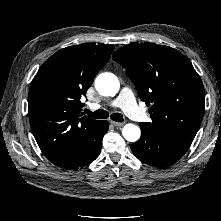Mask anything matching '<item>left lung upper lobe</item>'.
Here are the masks:
<instances>
[{
	"instance_id": "1",
	"label": "left lung upper lobe",
	"mask_w": 221,
	"mask_h": 221,
	"mask_svg": "<svg viewBox=\"0 0 221 221\" xmlns=\"http://www.w3.org/2000/svg\"><path fill=\"white\" fill-rule=\"evenodd\" d=\"M150 106L151 123L158 129L193 141L203 118L205 92L191 62L179 51L151 43L127 45L113 54Z\"/></svg>"
}]
</instances>
